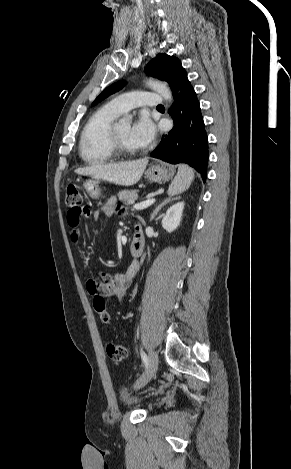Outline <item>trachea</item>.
Masks as SVG:
<instances>
[{
    "mask_svg": "<svg viewBox=\"0 0 291 469\" xmlns=\"http://www.w3.org/2000/svg\"><path fill=\"white\" fill-rule=\"evenodd\" d=\"M157 108H163V105H159V106H157Z\"/></svg>",
    "mask_w": 291,
    "mask_h": 469,
    "instance_id": "3493384b",
    "label": "trachea"
}]
</instances>
